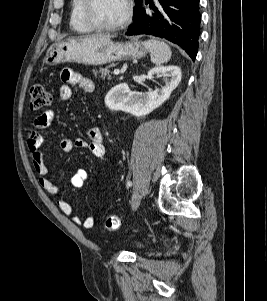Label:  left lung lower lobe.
<instances>
[{
	"label": "left lung lower lobe",
	"instance_id": "obj_1",
	"mask_svg": "<svg viewBox=\"0 0 267 301\" xmlns=\"http://www.w3.org/2000/svg\"><path fill=\"white\" fill-rule=\"evenodd\" d=\"M158 1L159 7L150 5L151 14L141 6L126 35L147 34L165 38L179 45L195 60L200 34L199 0Z\"/></svg>",
	"mask_w": 267,
	"mask_h": 301
}]
</instances>
